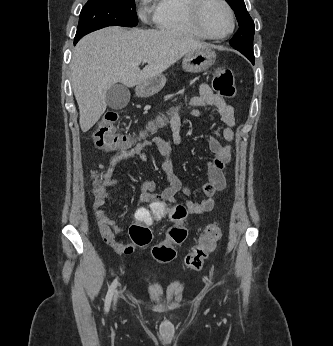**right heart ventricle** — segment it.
<instances>
[{"mask_svg":"<svg viewBox=\"0 0 333 346\" xmlns=\"http://www.w3.org/2000/svg\"><path fill=\"white\" fill-rule=\"evenodd\" d=\"M156 1L153 20L158 28L197 40L206 38L193 23L190 12V0Z\"/></svg>","mask_w":333,"mask_h":346,"instance_id":"e07e8e85","label":"right heart ventricle"}]
</instances>
